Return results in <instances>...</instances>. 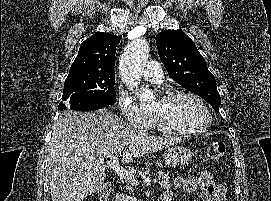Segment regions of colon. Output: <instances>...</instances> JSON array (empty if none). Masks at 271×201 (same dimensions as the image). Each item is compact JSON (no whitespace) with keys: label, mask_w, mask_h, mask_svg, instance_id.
Returning a JSON list of instances; mask_svg holds the SVG:
<instances>
[{"label":"colon","mask_w":271,"mask_h":201,"mask_svg":"<svg viewBox=\"0 0 271 201\" xmlns=\"http://www.w3.org/2000/svg\"><path fill=\"white\" fill-rule=\"evenodd\" d=\"M225 145L222 142H212L207 145V156L215 163H219L224 155Z\"/></svg>","instance_id":"colon-1"}]
</instances>
